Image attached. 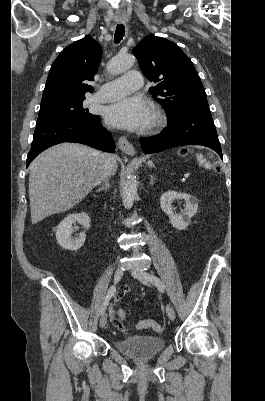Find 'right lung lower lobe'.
<instances>
[{"label": "right lung lower lobe", "mask_w": 265, "mask_h": 401, "mask_svg": "<svg viewBox=\"0 0 265 401\" xmlns=\"http://www.w3.org/2000/svg\"><path fill=\"white\" fill-rule=\"evenodd\" d=\"M62 142H77L113 152L114 141L100 121L53 120L36 125L27 166L45 149Z\"/></svg>", "instance_id": "right-lung-lower-lobe-1"}]
</instances>
